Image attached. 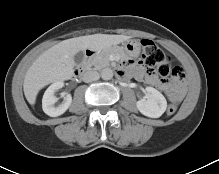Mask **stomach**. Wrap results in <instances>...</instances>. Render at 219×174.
I'll return each instance as SVG.
<instances>
[{
	"mask_svg": "<svg viewBox=\"0 0 219 174\" xmlns=\"http://www.w3.org/2000/svg\"><path fill=\"white\" fill-rule=\"evenodd\" d=\"M111 49L121 51L129 57H138L141 52V45L136 40H127L122 42L121 46H112L108 50Z\"/></svg>",
	"mask_w": 219,
	"mask_h": 174,
	"instance_id": "stomach-1",
	"label": "stomach"
}]
</instances>
